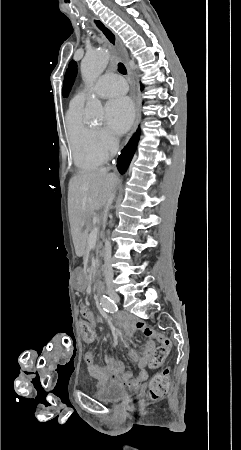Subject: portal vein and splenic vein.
I'll return each instance as SVG.
<instances>
[{"label":"portal vein and splenic vein","instance_id":"obj_1","mask_svg":"<svg viewBox=\"0 0 241 450\" xmlns=\"http://www.w3.org/2000/svg\"><path fill=\"white\" fill-rule=\"evenodd\" d=\"M90 226V224H88ZM99 228H93L92 232H90L88 236V242H96L98 236Z\"/></svg>","mask_w":241,"mask_h":450}]
</instances>
